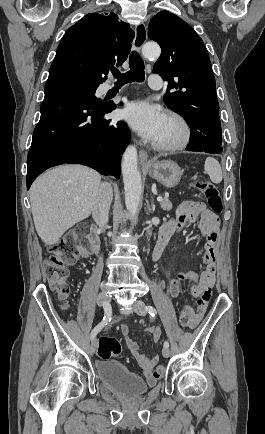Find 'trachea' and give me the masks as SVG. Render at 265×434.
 I'll return each mask as SVG.
<instances>
[{
  "label": "trachea",
  "instance_id": "obj_1",
  "mask_svg": "<svg viewBox=\"0 0 265 434\" xmlns=\"http://www.w3.org/2000/svg\"><path fill=\"white\" fill-rule=\"evenodd\" d=\"M129 72L120 73L119 70L113 69L112 74L117 78V84L143 82L145 78V66L143 59L137 52H132L129 58Z\"/></svg>",
  "mask_w": 265,
  "mask_h": 434
}]
</instances>
